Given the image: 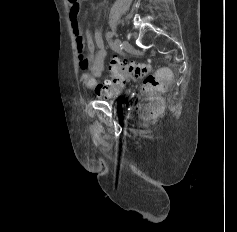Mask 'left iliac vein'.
Instances as JSON below:
<instances>
[{"mask_svg": "<svg viewBox=\"0 0 237 232\" xmlns=\"http://www.w3.org/2000/svg\"><path fill=\"white\" fill-rule=\"evenodd\" d=\"M122 45H123V48H124L126 51H129V50L132 49V46H131V44H130L128 41H123Z\"/></svg>", "mask_w": 237, "mask_h": 232, "instance_id": "left-iliac-vein-1", "label": "left iliac vein"}]
</instances>
